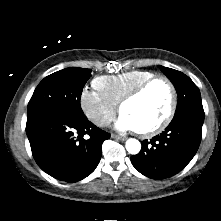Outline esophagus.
<instances>
[{
  "instance_id": "1",
  "label": "esophagus",
  "mask_w": 221,
  "mask_h": 221,
  "mask_svg": "<svg viewBox=\"0 0 221 221\" xmlns=\"http://www.w3.org/2000/svg\"><path fill=\"white\" fill-rule=\"evenodd\" d=\"M111 137L117 140H121V141L126 140V137H122V136L115 135V134H112Z\"/></svg>"
}]
</instances>
